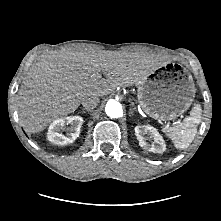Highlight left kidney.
I'll return each instance as SVG.
<instances>
[{"label": "left kidney", "instance_id": "5707ae66", "mask_svg": "<svg viewBox=\"0 0 221 221\" xmlns=\"http://www.w3.org/2000/svg\"><path fill=\"white\" fill-rule=\"evenodd\" d=\"M135 135L139 141V145L154 153H163L166 150V144L163 137L156 128L150 125H138L135 127ZM146 135L147 137H144ZM153 139L150 144L147 140Z\"/></svg>", "mask_w": 221, "mask_h": 221}]
</instances>
